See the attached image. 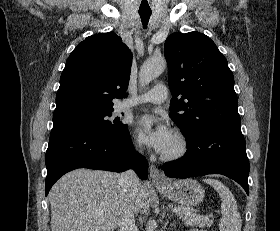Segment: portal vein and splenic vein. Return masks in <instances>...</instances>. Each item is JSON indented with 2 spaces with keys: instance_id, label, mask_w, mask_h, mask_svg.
<instances>
[{
  "instance_id": "obj_1",
  "label": "portal vein and splenic vein",
  "mask_w": 280,
  "mask_h": 231,
  "mask_svg": "<svg viewBox=\"0 0 280 231\" xmlns=\"http://www.w3.org/2000/svg\"><path fill=\"white\" fill-rule=\"evenodd\" d=\"M173 211H180V207H173Z\"/></svg>"
}]
</instances>
